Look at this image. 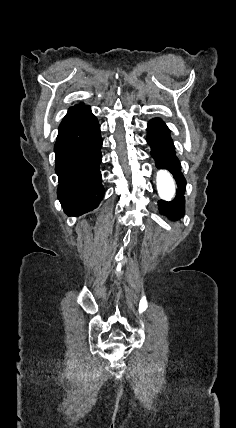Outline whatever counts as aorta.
Returning a JSON list of instances; mask_svg holds the SVG:
<instances>
[{"instance_id": "obj_1", "label": "aorta", "mask_w": 236, "mask_h": 428, "mask_svg": "<svg viewBox=\"0 0 236 428\" xmlns=\"http://www.w3.org/2000/svg\"><path fill=\"white\" fill-rule=\"evenodd\" d=\"M157 190L162 200H171L176 192L175 182L167 170H159L156 176Z\"/></svg>"}]
</instances>
